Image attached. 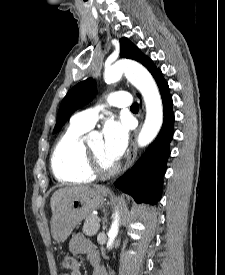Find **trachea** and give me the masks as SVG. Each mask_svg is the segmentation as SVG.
I'll return each instance as SVG.
<instances>
[{"label":"trachea","instance_id":"3493384b","mask_svg":"<svg viewBox=\"0 0 225 275\" xmlns=\"http://www.w3.org/2000/svg\"><path fill=\"white\" fill-rule=\"evenodd\" d=\"M131 109H138V103H134V104L131 106Z\"/></svg>","mask_w":225,"mask_h":275}]
</instances>
